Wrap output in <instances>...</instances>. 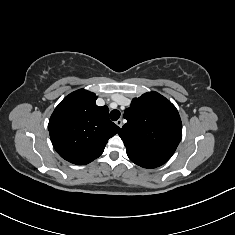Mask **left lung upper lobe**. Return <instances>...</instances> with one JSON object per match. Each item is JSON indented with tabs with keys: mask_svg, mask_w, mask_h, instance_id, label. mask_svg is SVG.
Listing matches in <instances>:
<instances>
[{
	"mask_svg": "<svg viewBox=\"0 0 235 235\" xmlns=\"http://www.w3.org/2000/svg\"><path fill=\"white\" fill-rule=\"evenodd\" d=\"M127 123L118 133L129 159L144 168L166 163L181 137L182 123L176 107L157 92L133 99L124 112Z\"/></svg>",
	"mask_w": 235,
	"mask_h": 235,
	"instance_id": "left-lung-upper-lobe-1",
	"label": "left lung upper lobe"
}]
</instances>
